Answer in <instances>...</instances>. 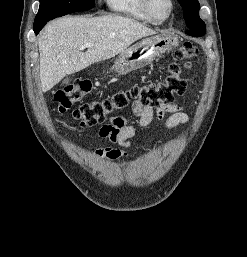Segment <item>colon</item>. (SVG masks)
<instances>
[{
  "instance_id": "colon-1",
  "label": "colon",
  "mask_w": 247,
  "mask_h": 257,
  "mask_svg": "<svg viewBox=\"0 0 247 257\" xmlns=\"http://www.w3.org/2000/svg\"><path fill=\"white\" fill-rule=\"evenodd\" d=\"M198 55L197 46L191 42H184L173 53V61L168 64L162 80L136 85L128 91L83 103L73 111V117L82 127H93L104 125L108 119L115 117V113L124 110L132 100L145 107L167 103L174 95L183 94L187 88L181 62L185 61V67L190 68ZM91 91L92 84L88 80H77L74 84L58 90L54 95L58 110L61 113L70 110L74 105L81 103Z\"/></svg>"
}]
</instances>
